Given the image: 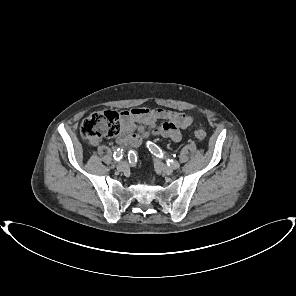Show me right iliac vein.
Here are the masks:
<instances>
[{"label": "right iliac vein", "mask_w": 296, "mask_h": 296, "mask_svg": "<svg viewBox=\"0 0 296 296\" xmlns=\"http://www.w3.org/2000/svg\"><path fill=\"white\" fill-rule=\"evenodd\" d=\"M128 164L125 161H121L118 165H117V170L120 172H123L127 169Z\"/></svg>", "instance_id": "1"}]
</instances>
